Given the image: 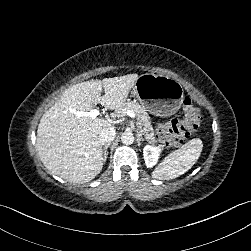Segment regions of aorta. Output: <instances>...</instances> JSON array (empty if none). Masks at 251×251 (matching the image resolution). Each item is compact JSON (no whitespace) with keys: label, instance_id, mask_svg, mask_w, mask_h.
I'll list each match as a JSON object with an SVG mask.
<instances>
[{"label":"aorta","instance_id":"aorta-1","mask_svg":"<svg viewBox=\"0 0 251 251\" xmlns=\"http://www.w3.org/2000/svg\"><path fill=\"white\" fill-rule=\"evenodd\" d=\"M121 142L125 145H131L134 142V136L131 132H124L121 135Z\"/></svg>","mask_w":251,"mask_h":251}]
</instances>
